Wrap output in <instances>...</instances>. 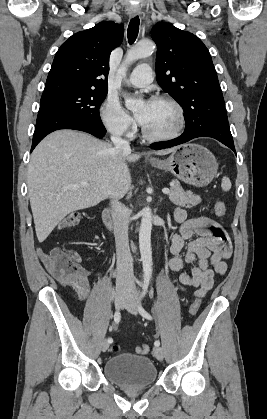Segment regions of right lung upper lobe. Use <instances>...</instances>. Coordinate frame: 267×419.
I'll return each mask as SVG.
<instances>
[{
  "label": "right lung upper lobe",
  "mask_w": 267,
  "mask_h": 419,
  "mask_svg": "<svg viewBox=\"0 0 267 419\" xmlns=\"http://www.w3.org/2000/svg\"><path fill=\"white\" fill-rule=\"evenodd\" d=\"M123 32L122 25L101 22L72 35L55 55L44 92L107 90L109 56L121 44Z\"/></svg>",
  "instance_id": "right-lung-upper-lobe-1"
}]
</instances>
